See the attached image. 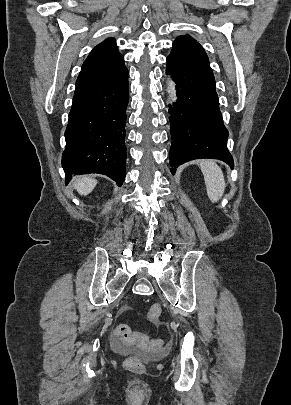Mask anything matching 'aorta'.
<instances>
[{"instance_id":"762f6f07","label":"aorta","mask_w":291,"mask_h":405,"mask_svg":"<svg viewBox=\"0 0 291 405\" xmlns=\"http://www.w3.org/2000/svg\"><path fill=\"white\" fill-rule=\"evenodd\" d=\"M167 92H168L170 101L175 102L177 100L176 85L171 78H168V81H167Z\"/></svg>"}]
</instances>
